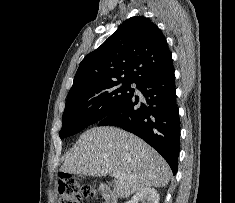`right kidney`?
Here are the masks:
<instances>
[{"instance_id":"ca27d5eb","label":"right kidney","mask_w":235,"mask_h":203,"mask_svg":"<svg viewBox=\"0 0 235 203\" xmlns=\"http://www.w3.org/2000/svg\"><path fill=\"white\" fill-rule=\"evenodd\" d=\"M126 203H159V194L154 188H144Z\"/></svg>"}]
</instances>
